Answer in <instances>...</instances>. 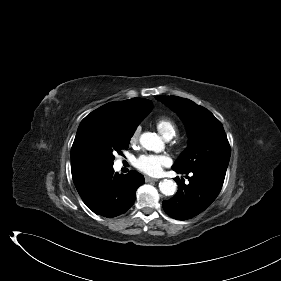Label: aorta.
Here are the masks:
<instances>
[{
	"label": "aorta",
	"mask_w": 281,
	"mask_h": 281,
	"mask_svg": "<svg viewBox=\"0 0 281 281\" xmlns=\"http://www.w3.org/2000/svg\"><path fill=\"white\" fill-rule=\"evenodd\" d=\"M139 141L142 147L151 151H158L162 146V140L156 133H143ZM159 189L162 194L171 196L175 194L177 185L173 180L164 179L159 183Z\"/></svg>",
	"instance_id": "762f6f07"
}]
</instances>
